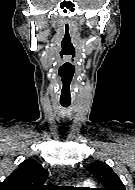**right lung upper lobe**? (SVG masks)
I'll return each instance as SVG.
<instances>
[{"label":"right lung upper lobe","instance_id":"obj_1","mask_svg":"<svg viewBox=\"0 0 135 190\" xmlns=\"http://www.w3.org/2000/svg\"><path fill=\"white\" fill-rule=\"evenodd\" d=\"M47 177L46 169L39 163L27 159L3 182H0V190H48L51 187L44 185Z\"/></svg>","mask_w":135,"mask_h":190}]
</instances>
